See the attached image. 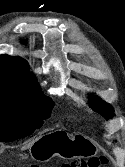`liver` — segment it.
I'll return each instance as SVG.
<instances>
[{"instance_id": "6515ba94", "label": "liver", "mask_w": 125, "mask_h": 167, "mask_svg": "<svg viewBox=\"0 0 125 167\" xmlns=\"http://www.w3.org/2000/svg\"><path fill=\"white\" fill-rule=\"evenodd\" d=\"M36 140H37V139H36ZM36 140H33L31 143H29V144H28L27 146H25L24 148H30Z\"/></svg>"}]
</instances>
